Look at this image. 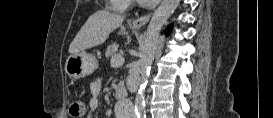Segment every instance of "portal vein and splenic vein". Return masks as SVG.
I'll use <instances>...</instances> for the list:
<instances>
[{
	"instance_id": "18ae733b",
	"label": "portal vein and splenic vein",
	"mask_w": 273,
	"mask_h": 118,
	"mask_svg": "<svg viewBox=\"0 0 273 118\" xmlns=\"http://www.w3.org/2000/svg\"><path fill=\"white\" fill-rule=\"evenodd\" d=\"M123 62H124V58L120 54L114 55L111 59V63H113L117 66L122 65Z\"/></svg>"
}]
</instances>
